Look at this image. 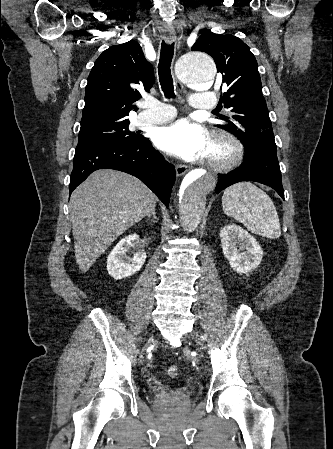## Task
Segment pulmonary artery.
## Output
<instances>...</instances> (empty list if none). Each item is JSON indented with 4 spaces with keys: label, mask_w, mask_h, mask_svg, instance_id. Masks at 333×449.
Wrapping results in <instances>:
<instances>
[{
    "label": "pulmonary artery",
    "mask_w": 333,
    "mask_h": 449,
    "mask_svg": "<svg viewBox=\"0 0 333 449\" xmlns=\"http://www.w3.org/2000/svg\"><path fill=\"white\" fill-rule=\"evenodd\" d=\"M217 96L208 91H199L191 96L190 105L195 109H213L217 105ZM145 110L139 114L142 124H158L171 120L176 115L173 106L158 101L147 102Z\"/></svg>",
    "instance_id": "1"
}]
</instances>
